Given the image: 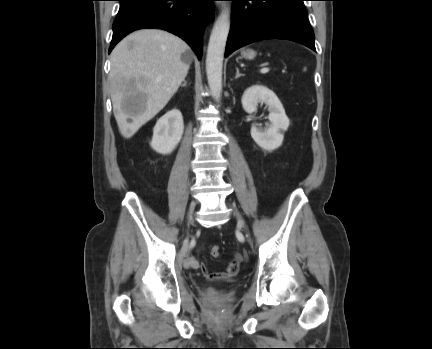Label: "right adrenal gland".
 Wrapping results in <instances>:
<instances>
[{
	"label": "right adrenal gland",
	"mask_w": 432,
	"mask_h": 349,
	"mask_svg": "<svg viewBox=\"0 0 432 349\" xmlns=\"http://www.w3.org/2000/svg\"><path fill=\"white\" fill-rule=\"evenodd\" d=\"M182 87H185V86H187V81L186 80H184L183 81V84L181 85Z\"/></svg>",
	"instance_id": "right-adrenal-gland-1"
}]
</instances>
